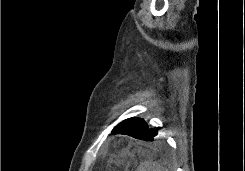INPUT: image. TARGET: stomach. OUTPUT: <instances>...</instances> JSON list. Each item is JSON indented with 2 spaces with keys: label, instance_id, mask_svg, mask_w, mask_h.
<instances>
[{
  "label": "stomach",
  "instance_id": "1",
  "mask_svg": "<svg viewBox=\"0 0 245 171\" xmlns=\"http://www.w3.org/2000/svg\"><path fill=\"white\" fill-rule=\"evenodd\" d=\"M128 156H131V153H129L128 150H125L122 154L121 157L122 159H119L116 161V164L119 166L120 164H124ZM131 161H127V165H129Z\"/></svg>",
  "mask_w": 245,
  "mask_h": 171
}]
</instances>
